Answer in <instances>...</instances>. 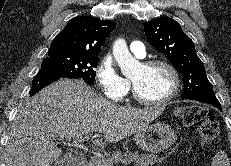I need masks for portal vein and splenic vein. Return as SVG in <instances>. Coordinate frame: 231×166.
I'll return each instance as SVG.
<instances>
[{
    "label": "portal vein and splenic vein",
    "instance_id": "obj_1",
    "mask_svg": "<svg viewBox=\"0 0 231 166\" xmlns=\"http://www.w3.org/2000/svg\"><path fill=\"white\" fill-rule=\"evenodd\" d=\"M89 139H90V134L84 133V134L77 135L76 137L72 139V141L76 147H81L82 144ZM91 158H94V157H91Z\"/></svg>",
    "mask_w": 231,
    "mask_h": 166
}]
</instances>
